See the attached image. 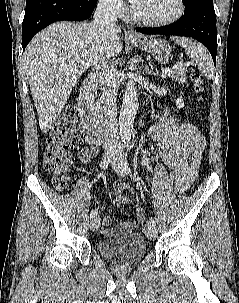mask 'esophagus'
Listing matches in <instances>:
<instances>
[{
    "mask_svg": "<svg viewBox=\"0 0 239 303\" xmlns=\"http://www.w3.org/2000/svg\"><path fill=\"white\" fill-rule=\"evenodd\" d=\"M126 36L132 39H139L138 34L133 29L128 30Z\"/></svg>",
    "mask_w": 239,
    "mask_h": 303,
    "instance_id": "esophagus-1",
    "label": "esophagus"
}]
</instances>
